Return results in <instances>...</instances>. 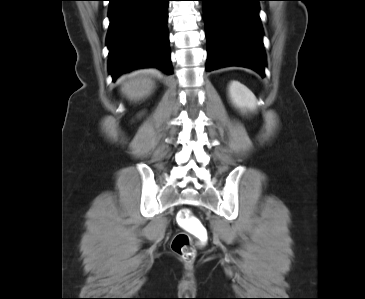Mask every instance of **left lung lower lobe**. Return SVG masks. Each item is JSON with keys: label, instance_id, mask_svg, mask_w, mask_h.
Listing matches in <instances>:
<instances>
[{"label": "left lung lower lobe", "instance_id": "obj_1", "mask_svg": "<svg viewBox=\"0 0 365 299\" xmlns=\"http://www.w3.org/2000/svg\"><path fill=\"white\" fill-rule=\"evenodd\" d=\"M207 36V71L242 66L265 76L266 57L259 17L262 0H200Z\"/></svg>", "mask_w": 365, "mask_h": 299}]
</instances>
